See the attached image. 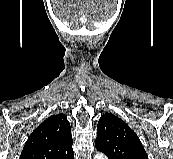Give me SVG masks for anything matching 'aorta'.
<instances>
[{
	"label": "aorta",
	"instance_id": "762f6f07",
	"mask_svg": "<svg viewBox=\"0 0 173 159\" xmlns=\"http://www.w3.org/2000/svg\"><path fill=\"white\" fill-rule=\"evenodd\" d=\"M94 159H107V157L103 153H96Z\"/></svg>",
	"mask_w": 173,
	"mask_h": 159
}]
</instances>
